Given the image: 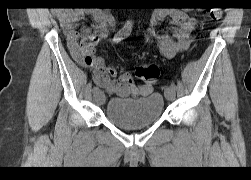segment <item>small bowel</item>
<instances>
[{
    "instance_id": "small-bowel-1",
    "label": "small bowel",
    "mask_w": 251,
    "mask_h": 180,
    "mask_svg": "<svg viewBox=\"0 0 251 180\" xmlns=\"http://www.w3.org/2000/svg\"><path fill=\"white\" fill-rule=\"evenodd\" d=\"M85 15L89 16L90 23L77 28L76 23ZM166 17H170L177 26L172 35L159 30L160 23ZM59 21L72 57L81 65L92 68L97 86L122 98L143 97L153 91L152 86L136 85L128 72L109 66L104 59L94 55L96 44L106 38L112 29L113 21L108 13L100 9L67 11L59 14ZM196 23L193 15L182 10L159 8L151 15L149 32L155 38L162 55L173 58L191 46Z\"/></svg>"
}]
</instances>
